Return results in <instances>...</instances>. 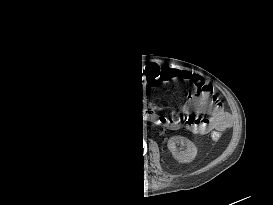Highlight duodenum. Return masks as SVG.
Masks as SVG:
<instances>
[{"label":"duodenum","mask_w":273,"mask_h":205,"mask_svg":"<svg viewBox=\"0 0 273 205\" xmlns=\"http://www.w3.org/2000/svg\"><path fill=\"white\" fill-rule=\"evenodd\" d=\"M138 115L143 116V117H147V118H152V119L155 118V116L153 114H150V113L144 112V111L139 112Z\"/></svg>","instance_id":"1"}]
</instances>
